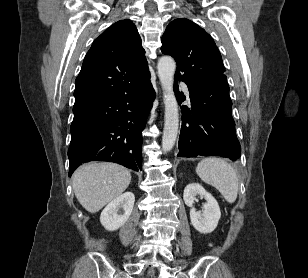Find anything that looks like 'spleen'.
<instances>
[{"label": "spleen", "instance_id": "obj_1", "mask_svg": "<svg viewBox=\"0 0 308 278\" xmlns=\"http://www.w3.org/2000/svg\"><path fill=\"white\" fill-rule=\"evenodd\" d=\"M196 173L203 182L215 187L228 203L236 201L239 189L238 176L226 160L217 157L204 158L198 163Z\"/></svg>", "mask_w": 308, "mask_h": 278}]
</instances>
